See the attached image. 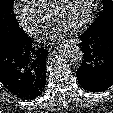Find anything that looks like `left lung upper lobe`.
I'll return each mask as SVG.
<instances>
[{
  "mask_svg": "<svg viewBox=\"0 0 113 113\" xmlns=\"http://www.w3.org/2000/svg\"><path fill=\"white\" fill-rule=\"evenodd\" d=\"M103 11L99 17L89 26V29H94L105 25L108 22L113 23V0H102Z\"/></svg>",
  "mask_w": 113,
  "mask_h": 113,
  "instance_id": "5c2ea615",
  "label": "left lung upper lobe"
}]
</instances>
